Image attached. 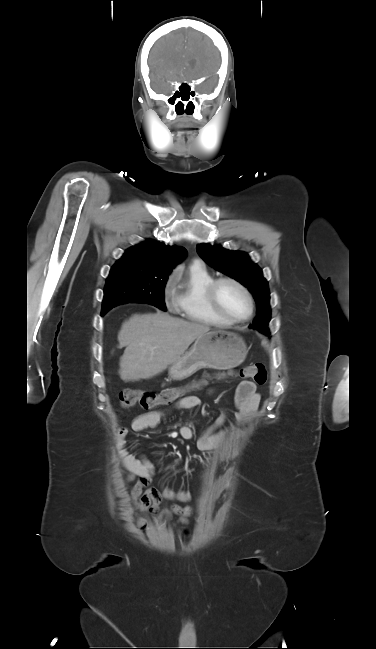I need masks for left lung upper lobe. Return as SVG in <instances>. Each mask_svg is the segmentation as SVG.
<instances>
[{"label": "left lung upper lobe", "instance_id": "5c2ea615", "mask_svg": "<svg viewBox=\"0 0 376 649\" xmlns=\"http://www.w3.org/2000/svg\"><path fill=\"white\" fill-rule=\"evenodd\" d=\"M196 249L201 258L211 267L236 279L254 294L257 314L250 327L268 334L270 293L268 282L262 276V270L241 251H229L220 245L208 244L197 245Z\"/></svg>", "mask_w": 376, "mask_h": 649}]
</instances>
